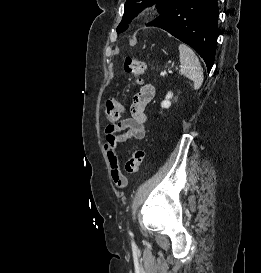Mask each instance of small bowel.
<instances>
[{
    "label": "small bowel",
    "mask_w": 261,
    "mask_h": 273,
    "mask_svg": "<svg viewBox=\"0 0 261 273\" xmlns=\"http://www.w3.org/2000/svg\"><path fill=\"white\" fill-rule=\"evenodd\" d=\"M155 94L156 90L152 84L143 85L133 98L130 108L131 116L111 123L105 128L104 150L110 164L111 179L117 187L120 178L123 179L126 186L127 178L121 171L116 146L118 143L131 139L141 140L145 137L146 108L154 99Z\"/></svg>",
    "instance_id": "small-bowel-1"
}]
</instances>
